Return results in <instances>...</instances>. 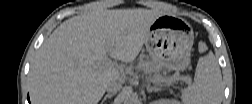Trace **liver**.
<instances>
[{"instance_id": "1", "label": "liver", "mask_w": 252, "mask_h": 104, "mask_svg": "<svg viewBox=\"0 0 252 104\" xmlns=\"http://www.w3.org/2000/svg\"><path fill=\"white\" fill-rule=\"evenodd\" d=\"M157 10L96 9L60 24L38 50L29 72L35 104H97L106 85L120 79L116 67L102 65L108 53L124 63L135 60Z\"/></svg>"}]
</instances>
